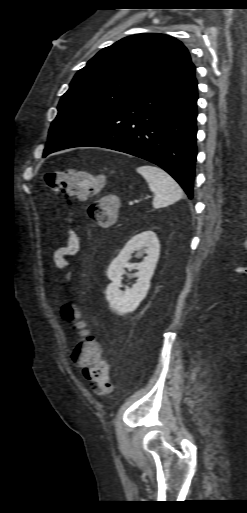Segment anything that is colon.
Segmentation results:
<instances>
[{"instance_id":"5ec220e1","label":"colon","mask_w":247,"mask_h":513,"mask_svg":"<svg viewBox=\"0 0 247 513\" xmlns=\"http://www.w3.org/2000/svg\"><path fill=\"white\" fill-rule=\"evenodd\" d=\"M45 185L63 194L66 200H88L96 187L102 183L92 173L75 169L48 172L44 177ZM117 204L113 196L102 197L100 202H92L87 207V217L98 222L101 227H109L116 220ZM63 317L74 322L81 334L80 340H75L69 348V357L74 361V369L83 379H87L90 388L99 395L108 394L112 388L109 378L108 365L102 358L104 346L100 340H94L81 321L76 310L69 304L62 308Z\"/></svg>"}]
</instances>
